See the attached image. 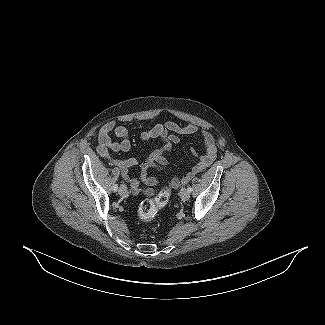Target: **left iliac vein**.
<instances>
[{
  "instance_id": "obj_1",
  "label": "left iliac vein",
  "mask_w": 325,
  "mask_h": 325,
  "mask_svg": "<svg viewBox=\"0 0 325 325\" xmlns=\"http://www.w3.org/2000/svg\"><path fill=\"white\" fill-rule=\"evenodd\" d=\"M180 197L182 200L186 201L190 198V194L186 188L180 190Z\"/></svg>"
}]
</instances>
